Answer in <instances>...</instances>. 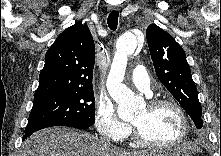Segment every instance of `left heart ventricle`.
<instances>
[{
  "label": "left heart ventricle",
  "mask_w": 221,
  "mask_h": 156,
  "mask_svg": "<svg viewBox=\"0 0 221 156\" xmlns=\"http://www.w3.org/2000/svg\"><path fill=\"white\" fill-rule=\"evenodd\" d=\"M139 127L146 139L157 144H170L182 131L177 112L171 107L150 110L145 107L132 121Z\"/></svg>",
  "instance_id": "left-heart-ventricle-1"
}]
</instances>
